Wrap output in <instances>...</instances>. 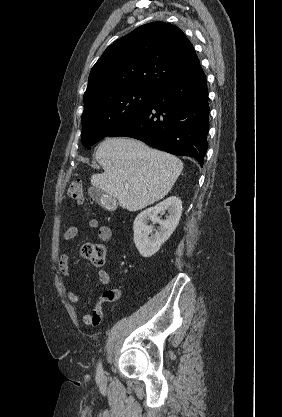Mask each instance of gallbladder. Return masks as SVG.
I'll return each mask as SVG.
<instances>
[{
    "instance_id": "1",
    "label": "gallbladder",
    "mask_w": 282,
    "mask_h": 417,
    "mask_svg": "<svg viewBox=\"0 0 282 417\" xmlns=\"http://www.w3.org/2000/svg\"><path fill=\"white\" fill-rule=\"evenodd\" d=\"M88 192L91 196V198H94L98 204H101V206H105L107 200H109V196H106L105 190H102V188H96V186H90L88 188Z\"/></svg>"
}]
</instances>
